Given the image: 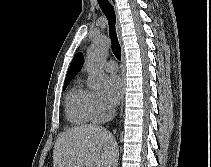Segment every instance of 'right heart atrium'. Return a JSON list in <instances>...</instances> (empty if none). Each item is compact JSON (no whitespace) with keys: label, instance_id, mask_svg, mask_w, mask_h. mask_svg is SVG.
Listing matches in <instances>:
<instances>
[{"label":"right heart atrium","instance_id":"right-heart-atrium-1","mask_svg":"<svg viewBox=\"0 0 211 167\" xmlns=\"http://www.w3.org/2000/svg\"><path fill=\"white\" fill-rule=\"evenodd\" d=\"M89 104L95 121H101L111 110L103 97L94 92H89Z\"/></svg>","mask_w":211,"mask_h":167}]
</instances>
